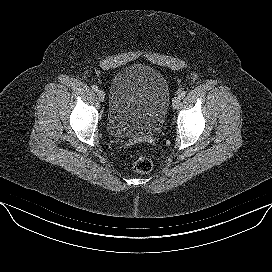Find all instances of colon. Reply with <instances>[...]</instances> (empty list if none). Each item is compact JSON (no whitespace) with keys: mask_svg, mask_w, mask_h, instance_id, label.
<instances>
[{"mask_svg":"<svg viewBox=\"0 0 272 272\" xmlns=\"http://www.w3.org/2000/svg\"><path fill=\"white\" fill-rule=\"evenodd\" d=\"M132 167L138 173H148L153 164L149 157L141 152H135L132 156Z\"/></svg>","mask_w":272,"mask_h":272,"instance_id":"1","label":"colon"}]
</instances>
